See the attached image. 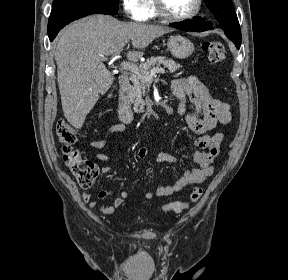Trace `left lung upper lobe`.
Segmentation results:
<instances>
[{"instance_id":"5c2ea615","label":"left lung upper lobe","mask_w":288,"mask_h":280,"mask_svg":"<svg viewBox=\"0 0 288 280\" xmlns=\"http://www.w3.org/2000/svg\"><path fill=\"white\" fill-rule=\"evenodd\" d=\"M219 26L233 43H241V30L231 0H204Z\"/></svg>"}]
</instances>
